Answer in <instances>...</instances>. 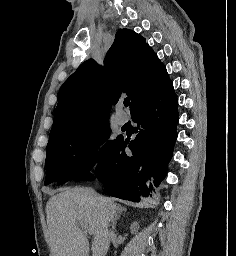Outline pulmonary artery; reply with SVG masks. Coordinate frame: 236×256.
<instances>
[{
    "mask_svg": "<svg viewBox=\"0 0 236 256\" xmlns=\"http://www.w3.org/2000/svg\"><path fill=\"white\" fill-rule=\"evenodd\" d=\"M116 123L119 125H124L126 123L125 120H116Z\"/></svg>",
    "mask_w": 236,
    "mask_h": 256,
    "instance_id": "e3ab8cb5",
    "label": "pulmonary artery"
}]
</instances>
